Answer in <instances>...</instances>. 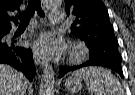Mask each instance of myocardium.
Returning <instances> with one entry per match:
<instances>
[{
    "mask_svg": "<svg viewBox=\"0 0 135 95\" xmlns=\"http://www.w3.org/2000/svg\"><path fill=\"white\" fill-rule=\"evenodd\" d=\"M89 49L84 42H74L69 49L68 59L71 62H78L88 55Z\"/></svg>",
    "mask_w": 135,
    "mask_h": 95,
    "instance_id": "1",
    "label": "myocardium"
}]
</instances>
